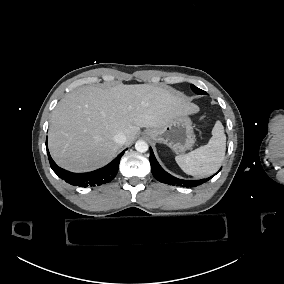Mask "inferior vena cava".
I'll list each match as a JSON object with an SVG mask.
<instances>
[{
    "label": "inferior vena cava",
    "mask_w": 284,
    "mask_h": 284,
    "mask_svg": "<svg viewBox=\"0 0 284 284\" xmlns=\"http://www.w3.org/2000/svg\"><path fill=\"white\" fill-rule=\"evenodd\" d=\"M113 140H114L116 143L124 144L125 141H126V136H125L124 133L119 132V133H117L116 135H114Z\"/></svg>",
    "instance_id": "1"
}]
</instances>
